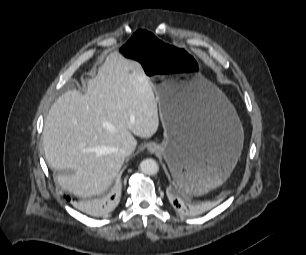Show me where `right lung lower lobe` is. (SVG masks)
Here are the masks:
<instances>
[{
  "label": "right lung lower lobe",
  "mask_w": 306,
  "mask_h": 255,
  "mask_svg": "<svg viewBox=\"0 0 306 255\" xmlns=\"http://www.w3.org/2000/svg\"><path fill=\"white\" fill-rule=\"evenodd\" d=\"M66 197V196H65ZM114 197L107 198L104 200H99V201H90V202H79L78 206L85 212L90 213V214H97L104 209H106L110 203L111 200H113ZM66 199L70 201V198L67 196Z\"/></svg>",
  "instance_id": "1"
}]
</instances>
